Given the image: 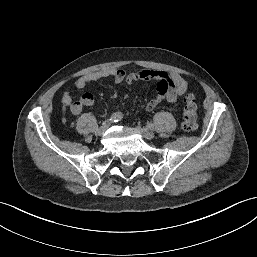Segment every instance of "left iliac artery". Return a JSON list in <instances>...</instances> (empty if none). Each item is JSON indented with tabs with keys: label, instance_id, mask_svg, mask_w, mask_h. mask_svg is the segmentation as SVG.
Returning a JSON list of instances; mask_svg holds the SVG:
<instances>
[{
	"label": "left iliac artery",
	"instance_id": "44dca946",
	"mask_svg": "<svg viewBox=\"0 0 257 257\" xmlns=\"http://www.w3.org/2000/svg\"><path fill=\"white\" fill-rule=\"evenodd\" d=\"M147 127H148L149 129H151V130L154 129V125L151 124V123H148V124H147Z\"/></svg>",
	"mask_w": 257,
	"mask_h": 257
}]
</instances>
